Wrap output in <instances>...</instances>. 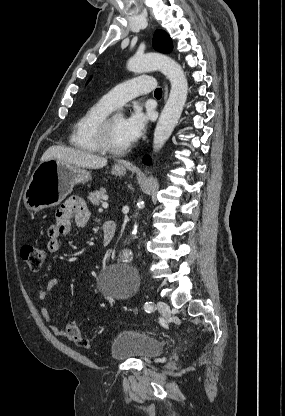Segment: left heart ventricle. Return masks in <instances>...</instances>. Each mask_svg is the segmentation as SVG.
I'll use <instances>...</instances> for the list:
<instances>
[{"label": "left heart ventricle", "instance_id": "1", "mask_svg": "<svg viewBox=\"0 0 285 416\" xmlns=\"http://www.w3.org/2000/svg\"><path fill=\"white\" fill-rule=\"evenodd\" d=\"M123 118L119 114H113L109 124V142L115 148L127 146L122 134Z\"/></svg>", "mask_w": 285, "mask_h": 416}]
</instances>
